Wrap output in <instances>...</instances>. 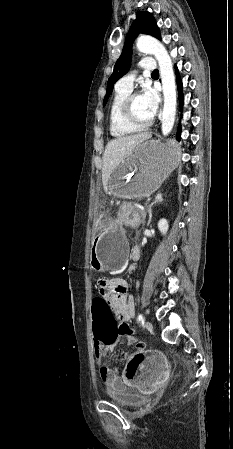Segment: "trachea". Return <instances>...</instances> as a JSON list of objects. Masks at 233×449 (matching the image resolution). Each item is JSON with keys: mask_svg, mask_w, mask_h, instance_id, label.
<instances>
[{"mask_svg": "<svg viewBox=\"0 0 233 449\" xmlns=\"http://www.w3.org/2000/svg\"><path fill=\"white\" fill-rule=\"evenodd\" d=\"M159 74V71L156 69L152 72V75Z\"/></svg>", "mask_w": 233, "mask_h": 449, "instance_id": "3493384b", "label": "trachea"}]
</instances>
